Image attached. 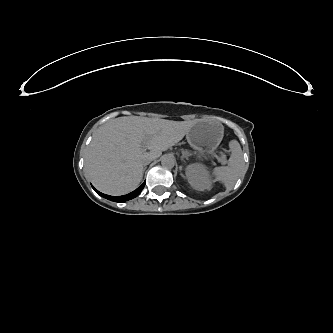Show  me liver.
Segmentation results:
<instances>
[{
    "instance_id": "obj_1",
    "label": "liver",
    "mask_w": 333,
    "mask_h": 333,
    "mask_svg": "<svg viewBox=\"0 0 333 333\" xmlns=\"http://www.w3.org/2000/svg\"><path fill=\"white\" fill-rule=\"evenodd\" d=\"M162 124L145 119L138 137H95L90 143L85 170L92 184L107 194H126L143 178V159H155L183 135L161 133ZM149 149V152H146Z\"/></svg>"
}]
</instances>
